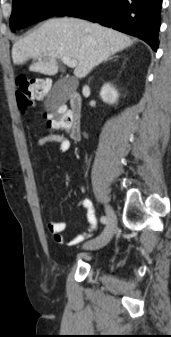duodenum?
<instances>
[{
    "instance_id": "410a0bca",
    "label": "duodenum",
    "mask_w": 171,
    "mask_h": 337,
    "mask_svg": "<svg viewBox=\"0 0 171 337\" xmlns=\"http://www.w3.org/2000/svg\"><path fill=\"white\" fill-rule=\"evenodd\" d=\"M81 97L77 91H71L69 96V109L66 111L69 117L70 136L77 140L81 136L80 127Z\"/></svg>"
}]
</instances>
